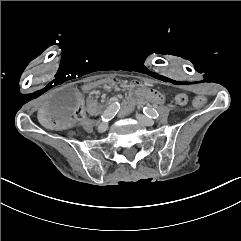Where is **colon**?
<instances>
[{"instance_id":"5ec220e1","label":"colon","mask_w":241,"mask_h":241,"mask_svg":"<svg viewBox=\"0 0 241 241\" xmlns=\"http://www.w3.org/2000/svg\"><path fill=\"white\" fill-rule=\"evenodd\" d=\"M77 99L79 101L77 103V108L75 110L74 115H75L76 121L81 122L84 119V115H85L84 109L85 108H84V103L81 100L82 98L79 96ZM176 100H177V103L181 106H186L189 103V97H188L187 93H185V92L177 93ZM193 103L196 108H203L205 106V99L201 95H196L193 98Z\"/></svg>"}]
</instances>
